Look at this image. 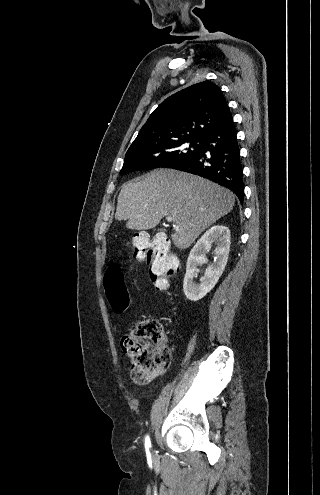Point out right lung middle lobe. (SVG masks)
I'll list each match as a JSON object with an SVG mask.
<instances>
[{
  "instance_id": "dd1d6c3e",
  "label": "right lung middle lobe",
  "mask_w": 320,
  "mask_h": 495,
  "mask_svg": "<svg viewBox=\"0 0 320 495\" xmlns=\"http://www.w3.org/2000/svg\"><path fill=\"white\" fill-rule=\"evenodd\" d=\"M201 143L202 138H185L128 149L120 174L160 167L171 168L194 156L200 149Z\"/></svg>"
}]
</instances>
